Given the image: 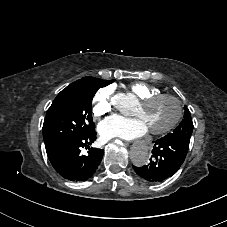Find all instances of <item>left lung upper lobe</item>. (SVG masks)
<instances>
[{
    "label": "left lung upper lobe",
    "instance_id": "left-lung-upper-lobe-1",
    "mask_svg": "<svg viewBox=\"0 0 227 227\" xmlns=\"http://www.w3.org/2000/svg\"><path fill=\"white\" fill-rule=\"evenodd\" d=\"M184 109H185L184 119L181 121L179 126L176 129H174L172 133L166 135L167 137H175L179 139L190 140L193 130V122L188 108L185 106Z\"/></svg>",
    "mask_w": 227,
    "mask_h": 227
}]
</instances>
